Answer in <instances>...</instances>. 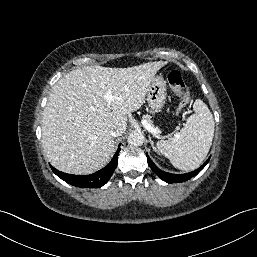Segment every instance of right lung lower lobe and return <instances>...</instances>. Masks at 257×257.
Instances as JSON below:
<instances>
[{"label": "right lung lower lobe", "instance_id": "right-lung-lower-lobe-1", "mask_svg": "<svg viewBox=\"0 0 257 257\" xmlns=\"http://www.w3.org/2000/svg\"><path fill=\"white\" fill-rule=\"evenodd\" d=\"M119 152H120V148L117 149L112 160L106 167L90 175H71V174L58 171L52 166H51V169L59 178H61L65 182L75 187L99 188L105 185L110 179V177L112 176L118 164L117 159H118Z\"/></svg>", "mask_w": 257, "mask_h": 257}]
</instances>
